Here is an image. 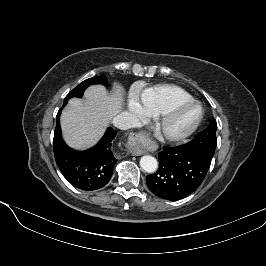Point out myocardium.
Listing matches in <instances>:
<instances>
[{"instance_id":"myocardium-1","label":"myocardium","mask_w":266,"mask_h":266,"mask_svg":"<svg viewBox=\"0 0 266 266\" xmlns=\"http://www.w3.org/2000/svg\"><path fill=\"white\" fill-rule=\"evenodd\" d=\"M195 108L197 110V114L193 121L183 130L181 131H171L170 124L171 122L178 117L182 112ZM204 116V110L202 105L195 101L190 100L186 102L179 103L166 111L165 113L159 115L156 121V132L160 139L166 142L177 143L184 141L189 138L199 127L202 122Z\"/></svg>"}]
</instances>
